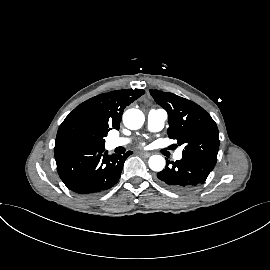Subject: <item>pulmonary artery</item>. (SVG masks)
<instances>
[{"label":"pulmonary artery","instance_id":"pulmonary-artery-1","mask_svg":"<svg viewBox=\"0 0 270 270\" xmlns=\"http://www.w3.org/2000/svg\"><path fill=\"white\" fill-rule=\"evenodd\" d=\"M167 120V113L162 109H151L147 114V126L152 132L160 131ZM131 142L130 138H111L108 141L110 148L126 146ZM174 158L180 160L182 158V151L179 150L175 153Z\"/></svg>","mask_w":270,"mask_h":270}]
</instances>
